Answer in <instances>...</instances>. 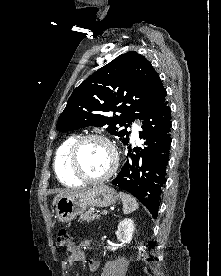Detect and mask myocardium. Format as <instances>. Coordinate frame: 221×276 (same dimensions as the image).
Listing matches in <instances>:
<instances>
[{"label":"myocardium","instance_id":"myocardium-1","mask_svg":"<svg viewBox=\"0 0 221 276\" xmlns=\"http://www.w3.org/2000/svg\"><path fill=\"white\" fill-rule=\"evenodd\" d=\"M89 140H99L104 142L111 150L112 152V164L110 168L101 176L98 177H89L87 176L80 168L79 163H78V152L80 147L82 146L83 143L89 141ZM67 163L70 172L74 177H76L78 180L87 182V183H101L109 179L117 170L118 165H119V154L118 151L113 144V142L106 137L105 135L102 134H97V133H90V134H85L82 136L77 137L73 143L71 144L68 154H67Z\"/></svg>","mask_w":221,"mask_h":276}]
</instances>
